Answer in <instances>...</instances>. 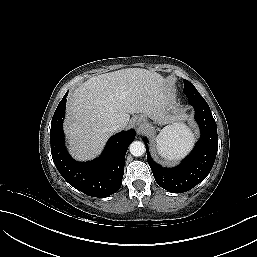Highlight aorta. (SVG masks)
Returning <instances> with one entry per match:
<instances>
[{
  "instance_id": "1",
  "label": "aorta",
  "mask_w": 257,
  "mask_h": 257,
  "mask_svg": "<svg viewBox=\"0 0 257 257\" xmlns=\"http://www.w3.org/2000/svg\"><path fill=\"white\" fill-rule=\"evenodd\" d=\"M130 153L135 157H140L145 153V145L141 141H134L129 147Z\"/></svg>"
}]
</instances>
